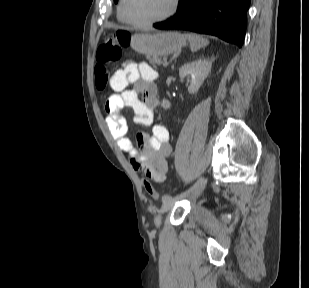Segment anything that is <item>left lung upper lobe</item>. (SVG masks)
<instances>
[{"label": "left lung upper lobe", "mask_w": 309, "mask_h": 288, "mask_svg": "<svg viewBox=\"0 0 309 288\" xmlns=\"http://www.w3.org/2000/svg\"><path fill=\"white\" fill-rule=\"evenodd\" d=\"M114 2H115V3H117V2H118V0H114Z\"/></svg>", "instance_id": "5c2ea615"}]
</instances>
